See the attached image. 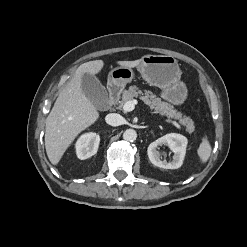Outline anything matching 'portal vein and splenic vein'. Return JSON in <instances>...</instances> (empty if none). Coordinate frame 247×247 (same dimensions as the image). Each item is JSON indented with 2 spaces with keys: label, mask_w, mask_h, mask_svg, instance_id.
<instances>
[{
  "label": "portal vein and splenic vein",
  "mask_w": 247,
  "mask_h": 247,
  "mask_svg": "<svg viewBox=\"0 0 247 247\" xmlns=\"http://www.w3.org/2000/svg\"><path fill=\"white\" fill-rule=\"evenodd\" d=\"M138 103L137 100H131V101H128L126 102L124 105H123V110L124 112H130L132 110H134L135 108V105ZM171 123L176 126L177 128H180V125L175 122V121H171Z\"/></svg>",
  "instance_id": "18ae733b"
}]
</instances>
